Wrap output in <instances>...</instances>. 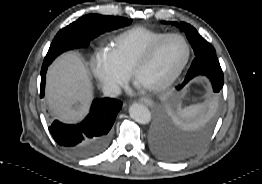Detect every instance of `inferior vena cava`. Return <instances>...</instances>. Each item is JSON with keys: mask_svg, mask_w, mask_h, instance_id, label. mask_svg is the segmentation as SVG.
<instances>
[{"mask_svg": "<svg viewBox=\"0 0 262 184\" xmlns=\"http://www.w3.org/2000/svg\"><path fill=\"white\" fill-rule=\"evenodd\" d=\"M102 91L107 97H116L121 93L120 87L115 83H106L102 87Z\"/></svg>", "mask_w": 262, "mask_h": 184, "instance_id": "1", "label": "inferior vena cava"}]
</instances>
